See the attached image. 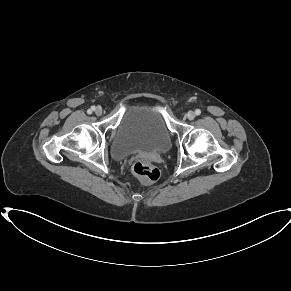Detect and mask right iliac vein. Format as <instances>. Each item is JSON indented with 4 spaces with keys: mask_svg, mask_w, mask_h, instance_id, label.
Here are the masks:
<instances>
[{
    "mask_svg": "<svg viewBox=\"0 0 291 291\" xmlns=\"http://www.w3.org/2000/svg\"><path fill=\"white\" fill-rule=\"evenodd\" d=\"M102 111L103 110H102V108L100 106L95 108V114L98 115V116H100L102 114Z\"/></svg>",
    "mask_w": 291,
    "mask_h": 291,
    "instance_id": "1",
    "label": "right iliac vein"
}]
</instances>
